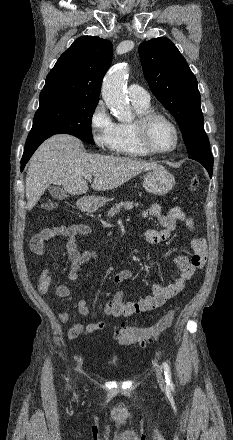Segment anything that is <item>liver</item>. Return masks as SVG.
<instances>
[{
    "label": "liver",
    "instance_id": "obj_1",
    "mask_svg": "<svg viewBox=\"0 0 233 440\" xmlns=\"http://www.w3.org/2000/svg\"><path fill=\"white\" fill-rule=\"evenodd\" d=\"M158 167L156 162L85 153L78 138L57 134L47 139L30 160L25 181L27 209H33L51 184L61 185L71 195H81L88 191L83 177L91 174L92 189L108 191Z\"/></svg>",
    "mask_w": 233,
    "mask_h": 440
}]
</instances>
